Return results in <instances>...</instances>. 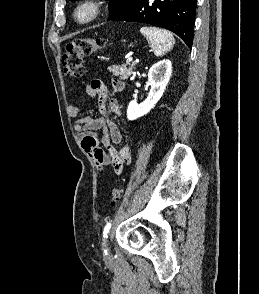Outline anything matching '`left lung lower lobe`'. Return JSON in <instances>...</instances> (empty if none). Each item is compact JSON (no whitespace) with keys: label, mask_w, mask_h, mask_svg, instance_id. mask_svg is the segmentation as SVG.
Segmentation results:
<instances>
[{"label":"left lung lower lobe","mask_w":259,"mask_h":294,"mask_svg":"<svg viewBox=\"0 0 259 294\" xmlns=\"http://www.w3.org/2000/svg\"><path fill=\"white\" fill-rule=\"evenodd\" d=\"M196 2L197 0H136L109 20L141 22L168 29L191 48Z\"/></svg>","instance_id":"left-lung-lower-lobe-1"}]
</instances>
